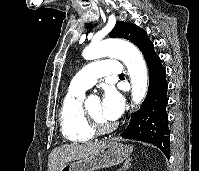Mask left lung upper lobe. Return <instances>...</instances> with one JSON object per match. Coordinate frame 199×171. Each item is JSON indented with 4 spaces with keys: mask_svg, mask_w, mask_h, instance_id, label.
<instances>
[{
    "mask_svg": "<svg viewBox=\"0 0 199 171\" xmlns=\"http://www.w3.org/2000/svg\"><path fill=\"white\" fill-rule=\"evenodd\" d=\"M109 37L124 38L133 42L140 50L150 42L146 32L135 24L128 22H116L115 27L109 33Z\"/></svg>",
    "mask_w": 199,
    "mask_h": 171,
    "instance_id": "1",
    "label": "left lung upper lobe"
}]
</instances>
